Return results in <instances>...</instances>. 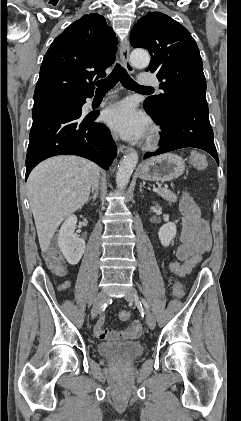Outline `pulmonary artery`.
I'll use <instances>...</instances> for the list:
<instances>
[{
	"instance_id": "obj_1",
	"label": "pulmonary artery",
	"mask_w": 241,
	"mask_h": 421,
	"mask_svg": "<svg viewBox=\"0 0 241 421\" xmlns=\"http://www.w3.org/2000/svg\"><path fill=\"white\" fill-rule=\"evenodd\" d=\"M140 84L146 86H159V81L155 77L144 76L140 78Z\"/></svg>"
}]
</instances>
